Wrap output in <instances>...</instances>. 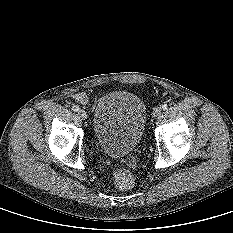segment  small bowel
I'll return each instance as SVG.
<instances>
[{
  "mask_svg": "<svg viewBox=\"0 0 233 233\" xmlns=\"http://www.w3.org/2000/svg\"><path fill=\"white\" fill-rule=\"evenodd\" d=\"M76 98H77V100H79V101L82 102V103H85V102L87 101L86 96L83 95V94H77V95H76Z\"/></svg>",
  "mask_w": 233,
  "mask_h": 233,
  "instance_id": "obj_1",
  "label": "small bowel"
}]
</instances>
